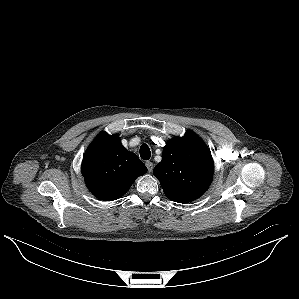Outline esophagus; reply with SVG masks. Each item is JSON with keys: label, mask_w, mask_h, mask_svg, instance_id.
<instances>
[{"label": "esophagus", "mask_w": 299, "mask_h": 299, "mask_svg": "<svg viewBox=\"0 0 299 299\" xmlns=\"http://www.w3.org/2000/svg\"><path fill=\"white\" fill-rule=\"evenodd\" d=\"M145 165H146V167L148 169V172H152V170H153V163L150 162V161H146Z\"/></svg>", "instance_id": "esophagus-1"}]
</instances>
